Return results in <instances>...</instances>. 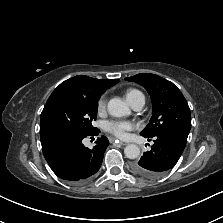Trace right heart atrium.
Masks as SVG:
<instances>
[{
  "label": "right heart atrium",
  "instance_id": "1",
  "mask_svg": "<svg viewBox=\"0 0 223 223\" xmlns=\"http://www.w3.org/2000/svg\"><path fill=\"white\" fill-rule=\"evenodd\" d=\"M106 108V97L101 96L97 102V110L98 112L104 111Z\"/></svg>",
  "mask_w": 223,
  "mask_h": 223
}]
</instances>
